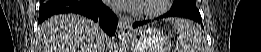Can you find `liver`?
<instances>
[{
  "label": "liver",
  "instance_id": "obj_1",
  "mask_svg": "<svg viewBox=\"0 0 261 52\" xmlns=\"http://www.w3.org/2000/svg\"><path fill=\"white\" fill-rule=\"evenodd\" d=\"M98 24L75 14L56 15L37 30L34 52H104Z\"/></svg>",
  "mask_w": 261,
  "mask_h": 52
}]
</instances>
